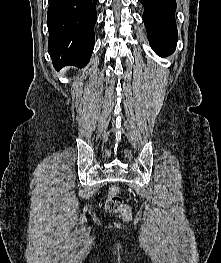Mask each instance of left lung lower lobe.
<instances>
[{
	"label": "left lung lower lobe",
	"mask_w": 221,
	"mask_h": 263,
	"mask_svg": "<svg viewBox=\"0 0 221 263\" xmlns=\"http://www.w3.org/2000/svg\"><path fill=\"white\" fill-rule=\"evenodd\" d=\"M144 6L143 21L153 50L161 57L175 51L177 26L175 0H140Z\"/></svg>",
	"instance_id": "1"
}]
</instances>
